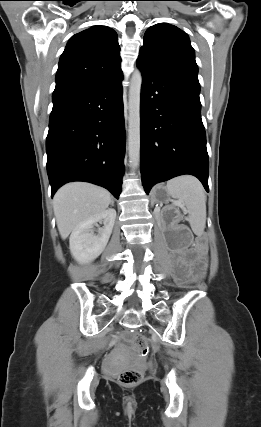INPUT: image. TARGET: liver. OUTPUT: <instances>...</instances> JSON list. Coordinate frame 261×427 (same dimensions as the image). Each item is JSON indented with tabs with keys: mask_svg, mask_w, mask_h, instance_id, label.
I'll list each match as a JSON object with an SVG mask.
<instances>
[{
	"mask_svg": "<svg viewBox=\"0 0 261 427\" xmlns=\"http://www.w3.org/2000/svg\"><path fill=\"white\" fill-rule=\"evenodd\" d=\"M111 202L110 193L99 186L72 182L55 194L53 209L62 239H66L81 222L104 212Z\"/></svg>",
	"mask_w": 261,
	"mask_h": 427,
	"instance_id": "obj_1",
	"label": "liver"
}]
</instances>
